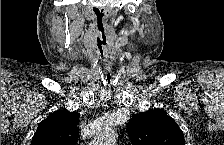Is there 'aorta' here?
<instances>
[{
    "instance_id": "762f6f07",
    "label": "aorta",
    "mask_w": 224,
    "mask_h": 145,
    "mask_svg": "<svg viewBox=\"0 0 224 145\" xmlns=\"http://www.w3.org/2000/svg\"><path fill=\"white\" fill-rule=\"evenodd\" d=\"M115 141V131L111 128H106L97 138V144L99 145H114Z\"/></svg>"
}]
</instances>
